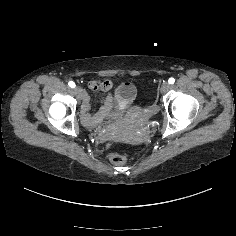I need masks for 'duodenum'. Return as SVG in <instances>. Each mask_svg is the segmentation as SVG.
Segmentation results:
<instances>
[{"mask_svg": "<svg viewBox=\"0 0 236 236\" xmlns=\"http://www.w3.org/2000/svg\"><path fill=\"white\" fill-rule=\"evenodd\" d=\"M111 107H112V97L110 95H107L106 99L104 100V104L101 107V110L95 115H90L89 97L88 95H85L83 98L82 120L89 127L95 126L98 123H100L110 113Z\"/></svg>", "mask_w": 236, "mask_h": 236, "instance_id": "1", "label": "duodenum"}]
</instances>
